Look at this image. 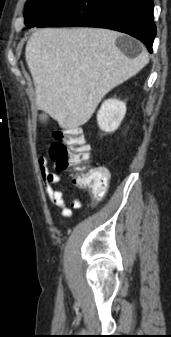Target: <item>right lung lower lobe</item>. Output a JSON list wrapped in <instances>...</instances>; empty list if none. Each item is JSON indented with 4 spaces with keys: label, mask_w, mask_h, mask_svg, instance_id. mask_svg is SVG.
Segmentation results:
<instances>
[{
    "label": "right lung lower lobe",
    "mask_w": 171,
    "mask_h": 337,
    "mask_svg": "<svg viewBox=\"0 0 171 337\" xmlns=\"http://www.w3.org/2000/svg\"><path fill=\"white\" fill-rule=\"evenodd\" d=\"M153 0H68L36 27H100L127 33L152 52Z\"/></svg>",
    "instance_id": "1"
}]
</instances>
